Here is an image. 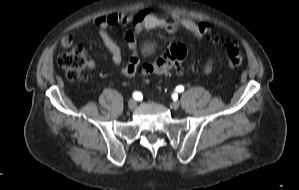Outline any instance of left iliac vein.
Here are the masks:
<instances>
[{
  "mask_svg": "<svg viewBox=\"0 0 299 190\" xmlns=\"http://www.w3.org/2000/svg\"><path fill=\"white\" fill-rule=\"evenodd\" d=\"M170 107H171L172 109H174V110H177V109H179L180 104H179V102H177V101H173V102L170 103Z\"/></svg>",
  "mask_w": 299,
  "mask_h": 190,
  "instance_id": "obj_1",
  "label": "left iliac vein"
}]
</instances>
